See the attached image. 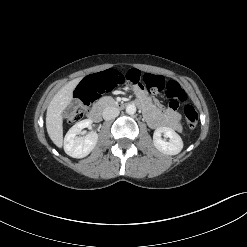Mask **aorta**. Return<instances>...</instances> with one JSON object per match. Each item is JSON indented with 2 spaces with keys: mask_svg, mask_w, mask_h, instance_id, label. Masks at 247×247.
<instances>
[{
  "mask_svg": "<svg viewBox=\"0 0 247 247\" xmlns=\"http://www.w3.org/2000/svg\"><path fill=\"white\" fill-rule=\"evenodd\" d=\"M126 113L129 115H133L136 113V106L134 104H129L126 107Z\"/></svg>",
  "mask_w": 247,
  "mask_h": 247,
  "instance_id": "1",
  "label": "aorta"
}]
</instances>
